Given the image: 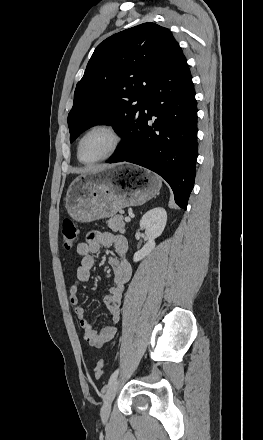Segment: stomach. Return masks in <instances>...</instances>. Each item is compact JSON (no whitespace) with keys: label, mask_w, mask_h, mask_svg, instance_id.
<instances>
[{"label":"stomach","mask_w":263,"mask_h":440,"mask_svg":"<svg viewBox=\"0 0 263 440\" xmlns=\"http://www.w3.org/2000/svg\"><path fill=\"white\" fill-rule=\"evenodd\" d=\"M127 169L128 173L123 171ZM160 189L159 177L136 166H107L85 172L69 185L65 198L68 214L90 222L114 216L129 206H139Z\"/></svg>","instance_id":"stomach-1"}]
</instances>
